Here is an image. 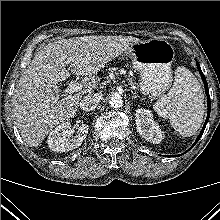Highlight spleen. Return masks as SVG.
I'll return each mask as SVG.
<instances>
[{
    "instance_id": "spleen-1",
    "label": "spleen",
    "mask_w": 220,
    "mask_h": 220,
    "mask_svg": "<svg viewBox=\"0 0 220 220\" xmlns=\"http://www.w3.org/2000/svg\"><path fill=\"white\" fill-rule=\"evenodd\" d=\"M200 83L185 67H177L170 91L154 103L155 112L169 119L182 136L194 135L201 127L205 112Z\"/></svg>"
}]
</instances>
